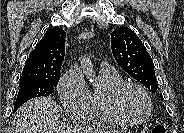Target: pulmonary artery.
<instances>
[{
    "mask_svg": "<svg viewBox=\"0 0 184 133\" xmlns=\"http://www.w3.org/2000/svg\"><path fill=\"white\" fill-rule=\"evenodd\" d=\"M102 68L109 69V70H115L113 66H111L108 63H102Z\"/></svg>",
    "mask_w": 184,
    "mask_h": 133,
    "instance_id": "1",
    "label": "pulmonary artery"
}]
</instances>
